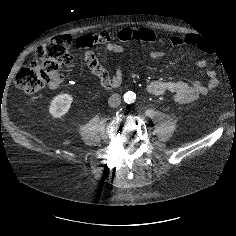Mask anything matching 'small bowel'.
<instances>
[{"instance_id":"obj_1","label":"small bowel","mask_w":236,"mask_h":236,"mask_svg":"<svg viewBox=\"0 0 236 236\" xmlns=\"http://www.w3.org/2000/svg\"><path fill=\"white\" fill-rule=\"evenodd\" d=\"M67 38V37H66ZM131 40L140 42H157L159 44L168 43L173 47L185 45L202 46V40L199 35L190 33L185 36H172L169 39L158 36L146 28H123L116 34L104 31L96 35H82L76 39V44L81 48H88L91 46H105L106 49L114 54L122 52L120 43H125ZM166 55L165 50H155L151 53L154 58H161ZM84 60L90 70L99 78L101 84L105 88L117 87L121 84L123 76L122 71L117 68L113 76H109L105 68L99 62L97 56L92 51L84 53ZM208 63L204 59L196 62L198 68L207 67ZM206 82L194 80L186 81H151L146 85V91L150 94H162L169 92L173 95L174 101L178 104H186L195 101L201 96L208 94L211 90L217 87L219 80L217 73L210 70L205 75ZM62 78L58 81L52 82L49 85L51 90H56Z\"/></svg>"}]
</instances>
